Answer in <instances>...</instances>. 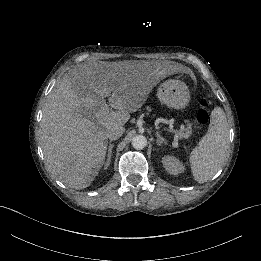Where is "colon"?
Masks as SVG:
<instances>
[{"label":"colon","mask_w":261,"mask_h":261,"mask_svg":"<svg viewBox=\"0 0 261 261\" xmlns=\"http://www.w3.org/2000/svg\"><path fill=\"white\" fill-rule=\"evenodd\" d=\"M193 112L191 117L198 129L203 128L209 120L210 114L207 110L208 101L204 98L192 101Z\"/></svg>","instance_id":"colon-1"}]
</instances>
